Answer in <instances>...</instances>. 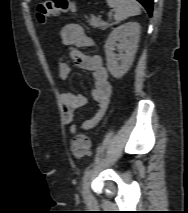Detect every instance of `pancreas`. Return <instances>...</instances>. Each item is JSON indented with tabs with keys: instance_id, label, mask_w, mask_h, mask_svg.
I'll return each instance as SVG.
<instances>
[{
	"instance_id": "1",
	"label": "pancreas",
	"mask_w": 188,
	"mask_h": 213,
	"mask_svg": "<svg viewBox=\"0 0 188 213\" xmlns=\"http://www.w3.org/2000/svg\"><path fill=\"white\" fill-rule=\"evenodd\" d=\"M87 22L89 23L90 26L94 28H100L102 30H105L106 28L113 25L112 23L103 22L99 18L93 15L90 18H88Z\"/></svg>"
}]
</instances>
